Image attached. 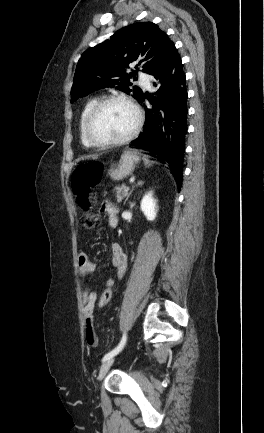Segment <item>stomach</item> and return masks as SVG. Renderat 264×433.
<instances>
[{"label": "stomach", "mask_w": 264, "mask_h": 433, "mask_svg": "<svg viewBox=\"0 0 264 433\" xmlns=\"http://www.w3.org/2000/svg\"><path fill=\"white\" fill-rule=\"evenodd\" d=\"M138 160L139 159L137 155L133 151H124L121 155L119 163L115 166H112L109 170L111 179L119 181L129 176L133 172Z\"/></svg>", "instance_id": "stomach-1"}]
</instances>
